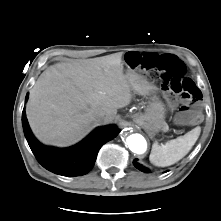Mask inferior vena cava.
Returning <instances> with one entry per match:
<instances>
[{
    "label": "inferior vena cava",
    "instance_id": "602c4592",
    "mask_svg": "<svg viewBox=\"0 0 221 221\" xmlns=\"http://www.w3.org/2000/svg\"><path fill=\"white\" fill-rule=\"evenodd\" d=\"M104 118H105V114L103 112H98L96 114L97 121L102 122L104 120Z\"/></svg>",
    "mask_w": 221,
    "mask_h": 221
}]
</instances>
